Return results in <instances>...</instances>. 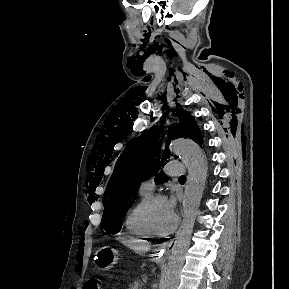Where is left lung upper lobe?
<instances>
[{"mask_svg":"<svg viewBox=\"0 0 289 289\" xmlns=\"http://www.w3.org/2000/svg\"><path fill=\"white\" fill-rule=\"evenodd\" d=\"M179 124L170 126L166 148H162L165 133L158 128L146 135L132 139L117 160L109 185L103 195L104 212L101 228L105 234L118 233L122 228V218L134 203V193L138 185L157 174L166 159L171 139L187 137L201 146V133L189 112L176 110ZM159 173L156 177L162 178Z\"/></svg>","mask_w":289,"mask_h":289,"instance_id":"5c2ea615","label":"left lung upper lobe"}]
</instances>
